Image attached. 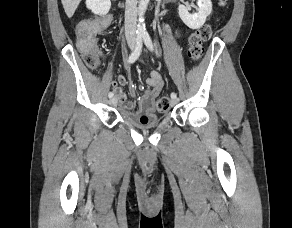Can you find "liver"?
Masks as SVG:
<instances>
[{"mask_svg": "<svg viewBox=\"0 0 292 228\" xmlns=\"http://www.w3.org/2000/svg\"><path fill=\"white\" fill-rule=\"evenodd\" d=\"M66 15L71 18L81 0H61Z\"/></svg>", "mask_w": 292, "mask_h": 228, "instance_id": "6515ba94", "label": "liver"}]
</instances>
